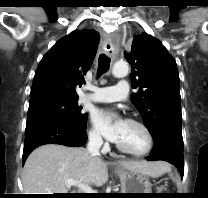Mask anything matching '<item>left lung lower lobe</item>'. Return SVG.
I'll return each mask as SVG.
<instances>
[{"instance_id": "1", "label": "left lung lower lobe", "mask_w": 208, "mask_h": 198, "mask_svg": "<svg viewBox=\"0 0 208 198\" xmlns=\"http://www.w3.org/2000/svg\"><path fill=\"white\" fill-rule=\"evenodd\" d=\"M155 146L147 160H163L177 167L181 178L184 175L183 143L170 136L155 141Z\"/></svg>"}]
</instances>
